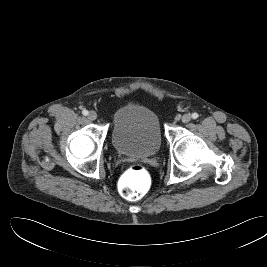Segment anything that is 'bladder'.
<instances>
[{"label": "bladder", "mask_w": 267, "mask_h": 267, "mask_svg": "<svg viewBox=\"0 0 267 267\" xmlns=\"http://www.w3.org/2000/svg\"><path fill=\"white\" fill-rule=\"evenodd\" d=\"M111 142L121 155L135 158L153 156L162 144L157 114L140 104H128L118 109L112 117Z\"/></svg>", "instance_id": "bladder-1"}]
</instances>
